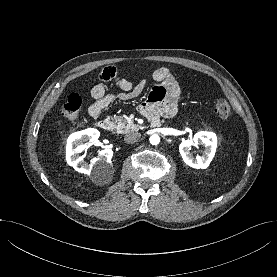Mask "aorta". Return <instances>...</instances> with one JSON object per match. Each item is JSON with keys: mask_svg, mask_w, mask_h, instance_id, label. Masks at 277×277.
<instances>
[{"mask_svg": "<svg viewBox=\"0 0 277 277\" xmlns=\"http://www.w3.org/2000/svg\"><path fill=\"white\" fill-rule=\"evenodd\" d=\"M149 140H150V143L152 145H158L159 142H160V137L158 135H156V134H153V135L150 136Z\"/></svg>", "mask_w": 277, "mask_h": 277, "instance_id": "762f6f07", "label": "aorta"}]
</instances>
